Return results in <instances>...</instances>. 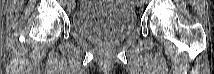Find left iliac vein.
Masks as SVG:
<instances>
[{"mask_svg":"<svg viewBox=\"0 0 214 74\" xmlns=\"http://www.w3.org/2000/svg\"><path fill=\"white\" fill-rule=\"evenodd\" d=\"M138 6L142 5V1H137Z\"/></svg>","mask_w":214,"mask_h":74,"instance_id":"left-iliac-vein-1","label":"left iliac vein"}]
</instances>
